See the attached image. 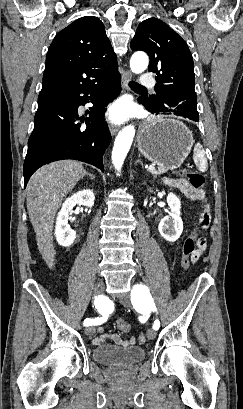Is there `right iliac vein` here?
<instances>
[{
  "label": "right iliac vein",
  "mask_w": 243,
  "mask_h": 409,
  "mask_svg": "<svg viewBox=\"0 0 243 409\" xmlns=\"http://www.w3.org/2000/svg\"><path fill=\"white\" fill-rule=\"evenodd\" d=\"M103 290H104V282L103 281H98L95 284V287H94V294L99 295V294H101L103 292ZM93 333H94V327L93 326H88V327L85 328V334L86 335L92 336Z\"/></svg>",
  "instance_id": "1"
}]
</instances>
